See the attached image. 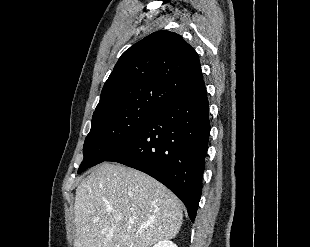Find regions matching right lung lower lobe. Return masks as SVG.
Listing matches in <instances>:
<instances>
[{
    "instance_id": "obj_1",
    "label": "right lung lower lobe",
    "mask_w": 310,
    "mask_h": 247,
    "mask_svg": "<svg viewBox=\"0 0 310 247\" xmlns=\"http://www.w3.org/2000/svg\"><path fill=\"white\" fill-rule=\"evenodd\" d=\"M210 133L205 86L159 109L113 161L140 170L168 187L194 222Z\"/></svg>"
}]
</instances>
